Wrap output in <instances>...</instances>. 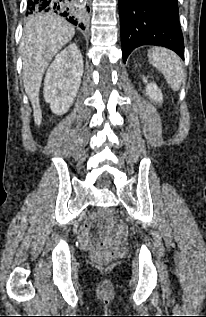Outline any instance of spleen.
I'll list each match as a JSON object with an SVG mask.
<instances>
[{"instance_id": "3e777b00", "label": "spleen", "mask_w": 206, "mask_h": 317, "mask_svg": "<svg viewBox=\"0 0 206 317\" xmlns=\"http://www.w3.org/2000/svg\"><path fill=\"white\" fill-rule=\"evenodd\" d=\"M151 64L161 71L169 86L177 91L183 80V68L180 59L172 51L164 48H153L148 51Z\"/></svg>"}]
</instances>
